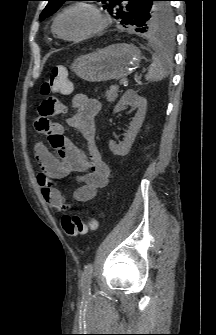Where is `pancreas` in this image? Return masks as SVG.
I'll use <instances>...</instances> for the list:
<instances>
[{"mask_svg": "<svg viewBox=\"0 0 216 335\" xmlns=\"http://www.w3.org/2000/svg\"><path fill=\"white\" fill-rule=\"evenodd\" d=\"M119 86L112 85L109 90L106 91V100L110 103L114 102L118 97Z\"/></svg>", "mask_w": 216, "mask_h": 335, "instance_id": "pancreas-1", "label": "pancreas"}]
</instances>
